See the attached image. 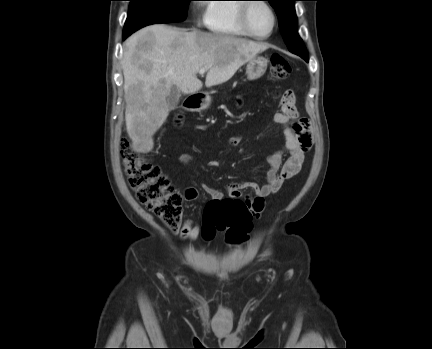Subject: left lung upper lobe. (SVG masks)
<instances>
[{"instance_id": "obj_1", "label": "left lung upper lobe", "mask_w": 432, "mask_h": 349, "mask_svg": "<svg viewBox=\"0 0 432 349\" xmlns=\"http://www.w3.org/2000/svg\"><path fill=\"white\" fill-rule=\"evenodd\" d=\"M279 17V28L289 49L299 56H308V52L297 32V17L294 3L297 0H267Z\"/></svg>"}]
</instances>
